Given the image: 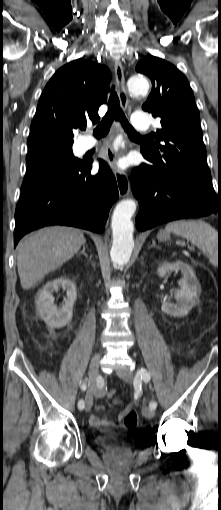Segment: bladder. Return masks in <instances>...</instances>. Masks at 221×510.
<instances>
[{"instance_id": "obj_1", "label": "bladder", "mask_w": 221, "mask_h": 510, "mask_svg": "<svg viewBox=\"0 0 221 510\" xmlns=\"http://www.w3.org/2000/svg\"><path fill=\"white\" fill-rule=\"evenodd\" d=\"M96 443L104 450L129 449L133 450L143 444L141 439H132L119 433H110L96 438Z\"/></svg>"}]
</instances>
